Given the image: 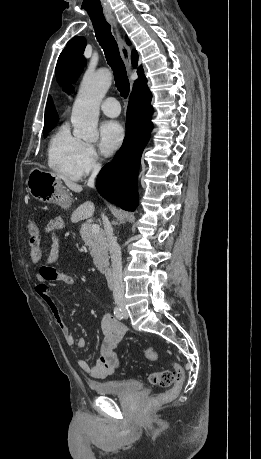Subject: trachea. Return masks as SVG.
Segmentation results:
<instances>
[{
    "label": "trachea",
    "instance_id": "trachea-1",
    "mask_svg": "<svg viewBox=\"0 0 261 459\" xmlns=\"http://www.w3.org/2000/svg\"><path fill=\"white\" fill-rule=\"evenodd\" d=\"M97 41L102 47L105 58L114 72L115 85L120 95L127 98L130 84L126 68L121 59L118 44L111 33L110 24L106 20H92Z\"/></svg>",
    "mask_w": 261,
    "mask_h": 459
}]
</instances>
